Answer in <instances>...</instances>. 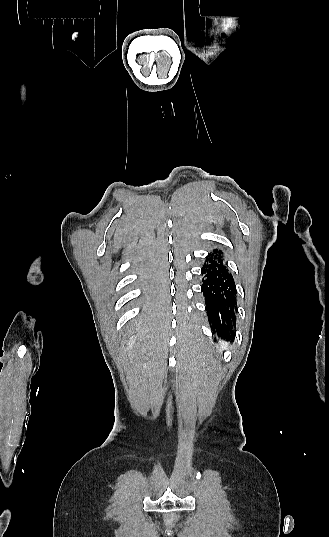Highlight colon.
<instances>
[{
	"label": "colon",
	"instance_id": "1",
	"mask_svg": "<svg viewBox=\"0 0 329 537\" xmlns=\"http://www.w3.org/2000/svg\"><path fill=\"white\" fill-rule=\"evenodd\" d=\"M162 516H163V518H165V519H173V520H176V519L179 518L180 513H179V511L176 510V509H173V510H165V511H163ZM170 522L172 523L173 521L170 520Z\"/></svg>",
	"mask_w": 329,
	"mask_h": 537
}]
</instances>
